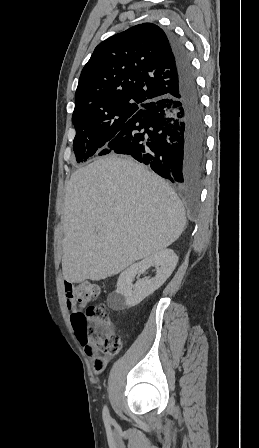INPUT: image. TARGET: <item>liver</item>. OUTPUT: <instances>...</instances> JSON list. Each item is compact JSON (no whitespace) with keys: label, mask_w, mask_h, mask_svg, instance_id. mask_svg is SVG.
I'll list each match as a JSON object with an SVG mask.
<instances>
[{"label":"liver","mask_w":259,"mask_h":448,"mask_svg":"<svg viewBox=\"0 0 259 448\" xmlns=\"http://www.w3.org/2000/svg\"><path fill=\"white\" fill-rule=\"evenodd\" d=\"M61 220L62 272L70 284L116 276L173 244L186 224L167 182L117 154L72 174Z\"/></svg>","instance_id":"liver-1"}]
</instances>
